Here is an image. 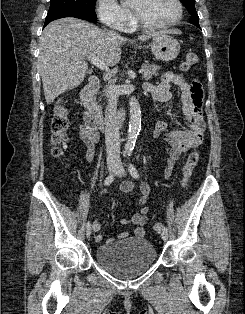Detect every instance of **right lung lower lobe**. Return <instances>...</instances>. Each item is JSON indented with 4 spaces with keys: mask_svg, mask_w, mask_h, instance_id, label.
Wrapping results in <instances>:
<instances>
[{
    "mask_svg": "<svg viewBox=\"0 0 245 314\" xmlns=\"http://www.w3.org/2000/svg\"><path fill=\"white\" fill-rule=\"evenodd\" d=\"M64 17H75V18L90 20V21L97 19L96 14H89V13H85L81 11H57V12H51L47 14L44 26H46L53 20L64 18Z\"/></svg>",
    "mask_w": 245,
    "mask_h": 314,
    "instance_id": "98d812e1",
    "label": "right lung lower lobe"
}]
</instances>
